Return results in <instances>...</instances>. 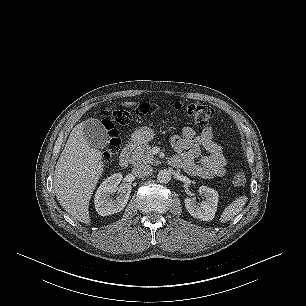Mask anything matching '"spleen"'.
Instances as JSON below:
<instances>
[{"mask_svg": "<svg viewBox=\"0 0 306 306\" xmlns=\"http://www.w3.org/2000/svg\"><path fill=\"white\" fill-rule=\"evenodd\" d=\"M247 196H239L233 200L222 212L220 222L225 223L238 215L247 202Z\"/></svg>", "mask_w": 306, "mask_h": 306, "instance_id": "1", "label": "spleen"}]
</instances>
